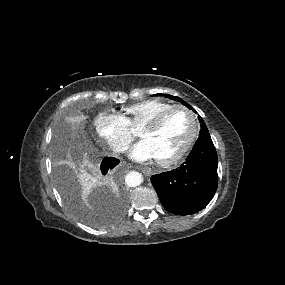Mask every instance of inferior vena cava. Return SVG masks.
<instances>
[{"label":"inferior vena cava","mask_w":285,"mask_h":285,"mask_svg":"<svg viewBox=\"0 0 285 285\" xmlns=\"http://www.w3.org/2000/svg\"><path fill=\"white\" fill-rule=\"evenodd\" d=\"M112 150L114 152H124L125 150H127V147L124 145V144H121V143H114L112 145Z\"/></svg>","instance_id":"1"}]
</instances>
